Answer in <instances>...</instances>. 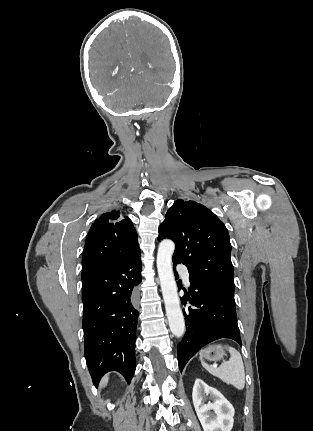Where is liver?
Wrapping results in <instances>:
<instances>
[{
    "label": "liver",
    "instance_id": "1",
    "mask_svg": "<svg viewBox=\"0 0 313 431\" xmlns=\"http://www.w3.org/2000/svg\"><path fill=\"white\" fill-rule=\"evenodd\" d=\"M108 379H109L108 376H105L101 381V386H106L108 383Z\"/></svg>",
    "mask_w": 313,
    "mask_h": 431
}]
</instances>
